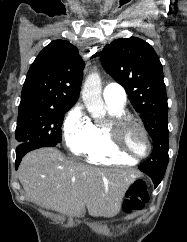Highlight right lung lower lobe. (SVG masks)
I'll list each match as a JSON object with an SVG mask.
<instances>
[{
  "label": "right lung lower lobe",
  "instance_id": "1",
  "mask_svg": "<svg viewBox=\"0 0 187 242\" xmlns=\"http://www.w3.org/2000/svg\"><path fill=\"white\" fill-rule=\"evenodd\" d=\"M41 147H55V146H47V145L31 143V142L21 143L20 145H18V147L16 148V169L18 168V165L20 164L22 157L26 153Z\"/></svg>",
  "mask_w": 187,
  "mask_h": 242
}]
</instances>
